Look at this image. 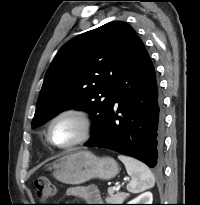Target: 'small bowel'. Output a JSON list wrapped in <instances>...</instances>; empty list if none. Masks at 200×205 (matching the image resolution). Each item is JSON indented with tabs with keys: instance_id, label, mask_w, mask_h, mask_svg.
Masks as SVG:
<instances>
[{
	"instance_id": "1",
	"label": "small bowel",
	"mask_w": 200,
	"mask_h": 205,
	"mask_svg": "<svg viewBox=\"0 0 200 205\" xmlns=\"http://www.w3.org/2000/svg\"><path fill=\"white\" fill-rule=\"evenodd\" d=\"M67 195L77 196L89 202L100 200L98 191L93 187H73L68 189Z\"/></svg>"
}]
</instances>
